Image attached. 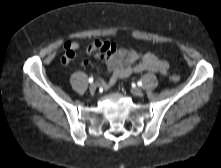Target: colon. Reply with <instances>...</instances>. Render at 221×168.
Listing matches in <instances>:
<instances>
[{
	"label": "colon",
	"instance_id": "5ec220e1",
	"mask_svg": "<svg viewBox=\"0 0 221 168\" xmlns=\"http://www.w3.org/2000/svg\"><path fill=\"white\" fill-rule=\"evenodd\" d=\"M169 78L172 82H179L180 80V77L177 74H170Z\"/></svg>",
	"mask_w": 221,
	"mask_h": 168
}]
</instances>
